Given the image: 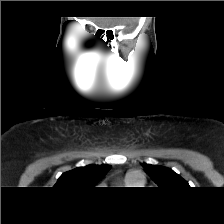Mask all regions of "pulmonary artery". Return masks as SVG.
I'll use <instances>...</instances> for the list:
<instances>
[{
  "label": "pulmonary artery",
  "mask_w": 224,
  "mask_h": 224,
  "mask_svg": "<svg viewBox=\"0 0 224 224\" xmlns=\"http://www.w3.org/2000/svg\"><path fill=\"white\" fill-rule=\"evenodd\" d=\"M131 180H134L138 183L142 182V175L139 173L134 174L133 176H131Z\"/></svg>",
  "instance_id": "pulmonary-artery-1"
}]
</instances>
